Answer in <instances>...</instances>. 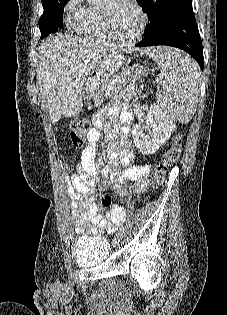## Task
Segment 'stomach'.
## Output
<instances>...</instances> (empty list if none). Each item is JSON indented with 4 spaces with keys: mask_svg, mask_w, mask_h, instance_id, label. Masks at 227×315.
Segmentation results:
<instances>
[{
    "mask_svg": "<svg viewBox=\"0 0 227 315\" xmlns=\"http://www.w3.org/2000/svg\"><path fill=\"white\" fill-rule=\"evenodd\" d=\"M122 57L120 55H111L110 63L106 68H97L91 72V80H88L84 90V95L89 98V91H99L102 89L101 82H116L117 69L119 68Z\"/></svg>",
    "mask_w": 227,
    "mask_h": 315,
    "instance_id": "obj_1",
    "label": "stomach"
}]
</instances>
